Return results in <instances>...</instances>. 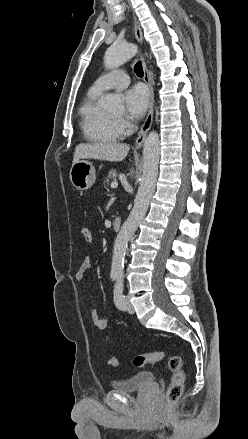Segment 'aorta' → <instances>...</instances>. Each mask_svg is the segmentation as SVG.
Returning <instances> with one entry per match:
<instances>
[{
  "mask_svg": "<svg viewBox=\"0 0 248 439\" xmlns=\"http://www.w3.org/2000/svg\"><path fill=\"white\" fill-rule=\"evenodd\" d=\"M138 47L132 43L110 46L104 56V64L107 69H114L131 59L137 52ZM101 107L108 112L117 111L121 107L117 95H105L100 101ZM160 154V140L156 131H151L147 136L143 149V173L140 179L138 192L134 200V206L129 217L123 223L113 247L111 274L121 276L124 268V258L128 242L140 222L146 215L150 200L154 194L158 175V163Z\"/></svg>",
  "mask_w": 248,
  "mask_h": 439,
  "instance_id": "obj_1",
  "label": "aorta"
}]
</instances>
